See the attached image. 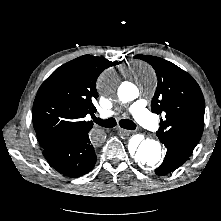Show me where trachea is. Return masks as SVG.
Instances as JSON below:
<instances>
[{
    "mask_svg": "<svg viewBox=\"0 0 221 221\" xmlns=\"http://www.w3.org/2000/svg\"><path fill=\"white\" fill-rule=\"evenodd\" d=\"M93 120L96 124L105 128H112L116 125V120L114 118L102 120L100 118L93 117ZM119 125L124 129L133 130L136 128V124L132 120H129V119L120 120Z\"/></svg>",
    "mask_w": 221,
    "mask_h": 221,
    "instance_id": "obj_1",
    "label": "trachea"
}]
</instances>
